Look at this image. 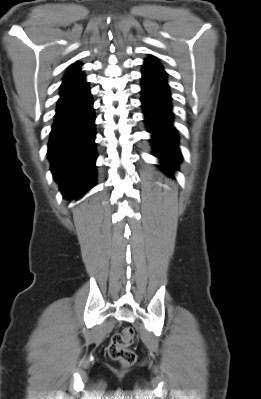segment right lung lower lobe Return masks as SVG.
Listing matches in <instances>:
<instances>
[{
  "label": "right lung lower lobe",
  "instance_id": "98d812e1",
  "mask_svg": "<svg viewBox=\"0 0 261 399\" xmlns=\"http://www.w3.org/2000/svg\"><path fill=\"white\" fill-rule=\"evenodd\" d=\"M84 75L63 82L48 144L51 171L64 197L75 199L93 185L95 115Z\"/></svg>",
  "mask_w": 261,
  "mask_h": 399
}]
</instances>
